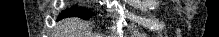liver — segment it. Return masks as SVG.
Listing matches in <instances>:
<instances>
[{"label": "liver", "mask_w": 219, "mask_h": 37, "mask_svg": "<svg viewBox=\"0 0 219 37\" xmlns=\"http://www.w3.org/2000/svg\"><path fill=\"white\" fill-rule=\"evenodd\" d=\"M60 29L67 37H91V33L88 31L87 26L76 20L69 19L60 22Z\"/></svg>", "instance_id": "obj_1"}]
</instances>
